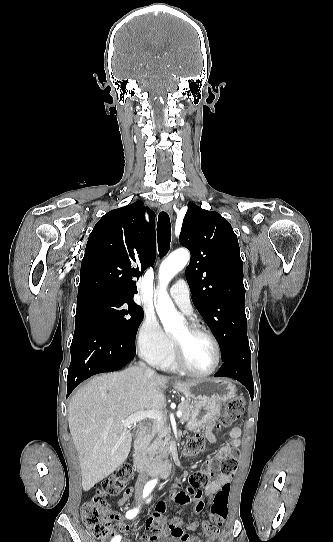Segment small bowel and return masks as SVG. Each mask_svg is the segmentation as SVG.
<instances>
[{
    "instance_id": "1",
    "label": "small bowel",
    "mask_w": 333,
    "mask_h": 542,
    "mask_svg": "<svg viewBox=\"0 0 333 542\" xmlns=\"http://www.w3.org/2000/svg\"><path fill=\"white\" fill-rule=\"evenodd\" d=\"M213 427L214 422L211 421L206 424L204 428V435L206 439L210 443H216L217 437L213 433ZM242 429L239 426H234L230 429L229 432V441L224 446L221 447L220 453H213L211 455V460L213 462H219L221 458L224 460L225 458L229 460L241 445V437ZM213 462L208 464V469H211L213 467ZM230 482V477L228 475H219L215 480L211 481L206 487H205V495L210 496L214 494L218 489H220L222 486L228 484ZM182 485L181 480L175 479L170 483V490H169V497L172 501L179 505H185L189 502V496L186 492L180 490V487ZM134 489L133 488H126L123 495L118 500L119 506H124L133 496H134ZM174 524L180 526V522L178 520L173 521ZM189 530H194L197 528V523L193 522L190 523L188 526ZM132 529V526L130 524H121L120 530L122 532H129ZM117 534L110 533V538H115ZM178 539V538H176ZM180 540V539H179ZM181 542V541H180Z\"/></svg>"
}]
</instances>
